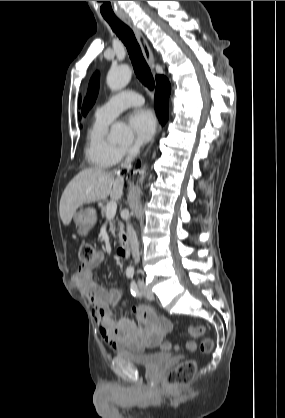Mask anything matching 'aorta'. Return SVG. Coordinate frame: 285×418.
Wrapping results in <instances>:
<instances>
[{
  "label": "aorta",
  "mask_w": 285,
  "mask_h": 418,
  "mask_svg": "<svg viewBox=\"0 0 285 418\" xmlns=\"http://www.w3.org/2000/svg\"><path fill=\"white\" fill-rule=\"evenodd\" d=\"M132 71L126 64L112 67L106 78L108 87L113 91H119L127 86L130 82ZM131 137L130 129L123 123H115L111 127L110 138L115 142H123ZM139 182L142 184L145 178L146 166L139 171Z\"/></svg>",
  "instance_id": "obj_1"
}]
</instances>
